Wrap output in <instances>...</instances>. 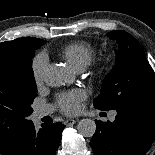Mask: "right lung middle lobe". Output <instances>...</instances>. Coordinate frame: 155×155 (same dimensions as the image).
<instances>
[{"label":"right lung middle lobe","mask_w":155,"mask_h":155,"mask_svg":"<svg viewBox=\"0 0 155 155\" xmlns=\"http://www.w3.org/2000/svg\"><path fill=\"white\" fill-rule=\"evenodd\" d=\"M31 47L0 52V147L12 143L31 123V104L37 96L32 70L35 50Z\"/></svg>","instance_id":"1"}]
</instances>
